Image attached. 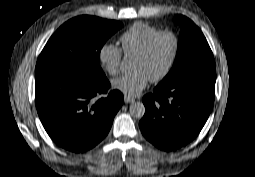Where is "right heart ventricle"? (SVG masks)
I'll return each instance as SVG.
<instances>
[{
	"instance_id": "right-heart-ventricle-1",
	"label": "right heart ventricle",
	"mask_w": 255,
	"mask_h": 177,
	"mask_svg": "<svg viewBox=\"0 0 255 177\" xmlns=\"http://www.w3.org/2000/svg\"><path fill=\"white\" fill-rule=\"evenodd\" d=\"M161 30L145 22H135L120 37L126 56H136L147 41Z\"/></svg>"
}]
</instances>
